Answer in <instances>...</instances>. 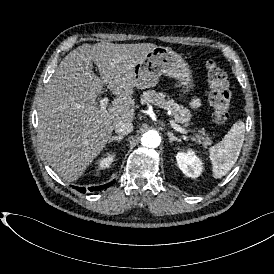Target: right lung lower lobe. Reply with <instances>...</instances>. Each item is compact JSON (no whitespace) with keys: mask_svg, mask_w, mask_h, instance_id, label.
I'll return each instance as SVG.
<instances>
[{"mask_svg":"<svg viewBox=\"0 0 274 274\" xmlns=\"http://www.w3.org/2000/svg\"><path fill=\"white\" fill-rule=\"evenodd\" d=\"M114 181L108 183V184H105V185H101V186H96V187H90L89 190L90 191H97V190H100V189H106L108 188L109 186L113 185ZM75 189H77L78 191L82 192V193H85L86 189L84 187L80 188V187H74Z\"/></svg>","mask_w":274,"mask_h":274,"instance_id":"right-lung-lower-lobe-1","label":"right lung lower lobe"}]
</instances>
